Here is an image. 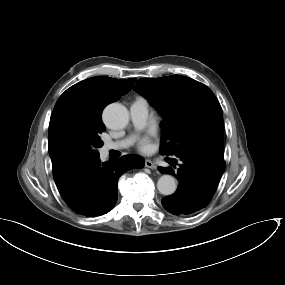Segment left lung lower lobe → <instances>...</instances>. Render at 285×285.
Here are the masks:
<instances>
[{"instance_id": "0a47b994", "label": "left lung lower lobe", "mask_w": 285, "mask_h": 285, "mask_svg": "<svg viewBox=\"0 0 285 285\" xmlns=\"http://www.w3.org/2000/svg\"><path fill=\"white\" fill-rule=\"evenodd\" d=\"M177 157L182 164L176 172L171 167H158L161 173L179 178V187L162 199V205L174 215H191L210 203L226 165L223 158L205 153Z\"/></svg>"}]
</instances>
